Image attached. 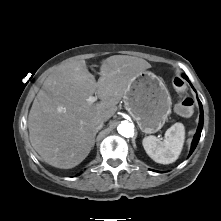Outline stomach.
I'll return each mask as SVG.
<instances>
[{"mask_svg": "<svg viewBox=\"0 0 221 221\" xmlns=\"http://www.w3.org/2000/svg\"><path fill=\"white\" fill-rule=\"evenodd\" d=\"M126 110L142 132L159 131L171 112V97L163 80L150 71L136 76L123 96Z\"/></svg>", "mask_w": 221, "mask_h": 221, "instance_id": "0dacf381", "label": "stomach"}]
</instances>
